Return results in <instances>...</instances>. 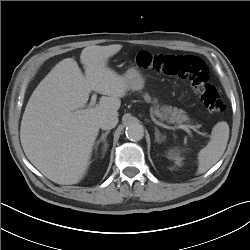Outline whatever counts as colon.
<instances>
[{"label": "colon", "mask_w": 250, "mask_h": 250, "mask_svg": "<svg viewBox=\"0 0 250 250\" xmlns=\"http://www.w3.org/2000/svg\"><path fill=\"white\" fill-rule=\"evenodd\" d=\"M135 59L141 68L188 81L193 92L210 113L220 114L224 111V103L217 88L208 82L209 72L201 58L194 55L140 51Z\"/></svg>", "instance_id": "obj_1"}]
</instances>
